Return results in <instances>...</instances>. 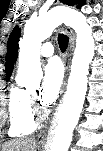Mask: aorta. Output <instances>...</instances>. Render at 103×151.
Instances as JSON below:
<instances>
[{"mask_svg": "<svg viewBox=\"0 0 103 151\" xmlns=\"http://www.w3.org/2000/svg\"><path fill=\"white\" fill-rule=\"evenodd\" d=\"M62 23L75 30L76 47L68 89L59 107L47 151H68L72 141L87 92L89 64L94 56L92 28L82 13L67 7H54L38 18L28 20L20 41L18 76L25 81L40 72L41 43Z\"/></svg>", "mask_w": 103, "mask_h": 151, "instance_id": "aorta-1", "label": "aorta"}]
</instances>
